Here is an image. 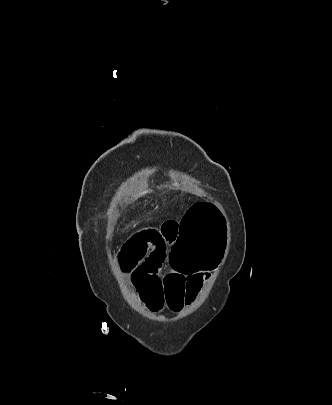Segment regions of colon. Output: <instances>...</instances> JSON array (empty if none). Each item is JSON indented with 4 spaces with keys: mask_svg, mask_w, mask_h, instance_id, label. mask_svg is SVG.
<instances>
[{
    "mask_svg": "<svg viewBox=\"0 0 332 405\" xmlns=\"http://www.w3.org/2000/svg\"><path fill=\"white\" fill-rule=\"evenodd\" d=\"M216 208L215 202H192L185 220H176L177 237L171 256L180 275H209L214 268H221L224 229Z\"/></svg>",
    "mask_w": 332,
    "mask_h": 405,
    "instance_id": "1",
    "label": "colon"
}]
</instances>
